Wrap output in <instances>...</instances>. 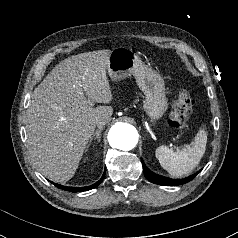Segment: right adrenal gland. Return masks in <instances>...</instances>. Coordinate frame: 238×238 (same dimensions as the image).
<instances>
[{
	"label": "right adrenal gland",
	"mask_w": 238,
	"mask_h": 238,
	"mask_svg": "<svg viewBox=\"0 0 238 238\" xmlns=\"http://www.w3.org/2000/svg\"><path fill=\"white\" fill-rule=\"evenodd\" d=\"M103 128H104V127H101V128H99V129H97V130L95 131V133L93 134V136H92V137L90 138V140H89V144L87 145V148L90 147V144H91V142H92L94 139L97 140V142H100L101 132H102Z\"/></svg>",
	"instance_id": "2a0ac1e0"
}]
</instances>
